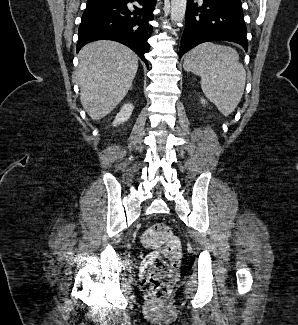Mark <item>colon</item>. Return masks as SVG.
I'll return each mask as SVG.
<instances>
[{"label": "colon", "instance_id": "5ec220e1", "mask_svg": "<svg viewBox=\"0 0 298 325\" xmlns=\"http://www.w3.org/2000/svg\"><path fill=\"white\" fill-rule=\"evenodd\" d=\"M141 242L151 249L141 264V281L151 295L165 299L177 278L182 252L180 242L162 223L150 226L143 233Z\"/></svg>", "mask_w": 298, "mask_h": 325}]
</instances>
